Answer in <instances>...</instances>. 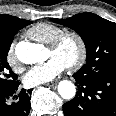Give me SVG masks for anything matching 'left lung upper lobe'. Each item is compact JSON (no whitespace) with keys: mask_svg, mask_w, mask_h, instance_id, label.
Segmentation results:
<instances>
[{"mask_svg":"<svg viewBox=\"0 0 116 116\" xmlns=\"http://www.w3.org/2000/svg\"><path fill=\"white\" fill-rule=\"evenodd\" d=\"M51 20L70 27L83 39L87 58L78 71L81 76L95 78L116 73V23L88 12Z\"/></svg>","mask_w":116,"mask_h":116,"instance_id":"left-lung-upper-lobe-1","label":"left lung upper lobe"}]
</instances>
